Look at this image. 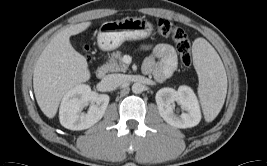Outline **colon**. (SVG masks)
<instances>
[{
  "instance_id": "5ec220e1",
  "label": "colon",
  "mask_w": 267,
  "mask_h": 166,
  "mask_svg": "<svg viewBox=\"0 0 267 166\" xmlns=\"http://www.w3.org/2000/svg\"><path fill=\"white\" fill-rule=\"evenodd\" d=\"M156 31L159 35L171 37L175 41L181 63L185 67H190L191 44L186 32L167 19H159L156 22Z\"/></svg>"
}]
</instances>
